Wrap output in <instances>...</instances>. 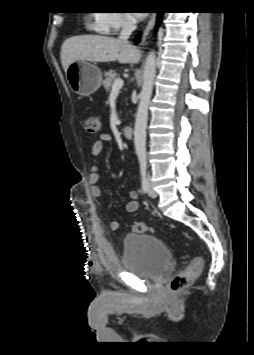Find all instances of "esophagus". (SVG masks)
I'll return each mask as SVG.
<instances>
[{
    "label": "esophagus",
    "instance_id": "obj_1",
    "mask_svg": "<svg viewBox=\"0 0 254 355\" xmlns=\"http://www.w3.org/2000/svg\"><path fill=\"white\" fill-rule=\"evenodd\" d=\"M156 13H152L143 32V38L150 32L156 21Z\"/></svg>",
    "mask_w": 254,
    "mask_h": 355
}]
</instances>
